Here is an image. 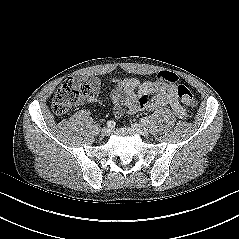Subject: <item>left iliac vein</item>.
Wrapping results in <instances>:
<instances>
[{"mask_svg":"<svg viewBox=\"0 0 239 239\" xmlns=\"http://www.w3.org/2000/svg\"><path fill=\"white\" fill-rule=\"evenodd\" d=\"M133 129L138 132L140 135L147 136L148 135V130L146 127H144L140 123H133L132 124Z\"/></svg>","mask_w":239,"mask_h":239,"instance_id":"obj_1","label":"left iliac vein"}]
</instances>
